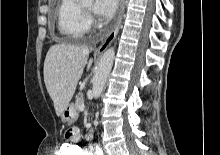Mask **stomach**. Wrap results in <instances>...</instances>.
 I'll list each match as a JSON object with an SVG mask.
<instances>
[{
  "label": "stomach",
  "mask_w": 220,
  "mask_h": 155,
  "mask_svg": "<svg viewBox=\"0 0 220 155\" xmlns=\"http://www.w3.org/2000/svg\"><path fill=\"white\" fill-rule=\"evenodd\" d=\"M77 118V112L72 105H68L61 114V120L64 123L71 124Z\"/></svg>",
  "instance_id": "0dacf381"
}]
</instances>
